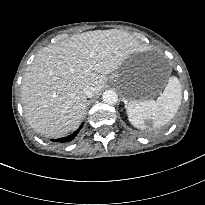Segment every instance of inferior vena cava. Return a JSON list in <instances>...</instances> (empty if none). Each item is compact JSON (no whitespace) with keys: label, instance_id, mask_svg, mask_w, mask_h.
Returning a JSON list of instances; mask_svg holds the SVG:
<instances>
[{"label":"inferior vena cava","instance_id":"1","mask_svg":"<svg viewBox=\"0 0 205 205\" xmlns=\"http://www.w3.org/2000/svg\"><path fill=\"white\" fill-rule=\"evenodd\" d=\"M83 92L87 97H93L94 96V90L91 86H86L84 88Z\"/></svg>","mask_w":205,"mask_h":205}]
</instances>
